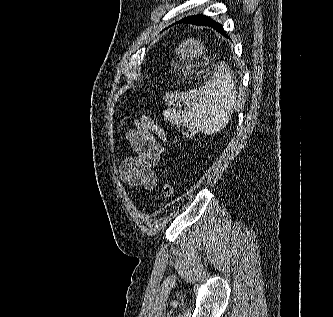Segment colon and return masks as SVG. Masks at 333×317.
Instances as JSON below:
<instances>
[{"label": "colon", "mask_w": 333, "mask_h": 317, "mask_svg": "<svg viewBox=\"0 0 333 317\" xmlns=\"http://www.w3.org/2000/svg\"><path fill=\"white\" fill-rule=\"evenodd\" d=\"M182 134L184 137L190 138L194 135V130L193 128L188 127L183 130ZM173 193H174V187L172 183L166 180L161 184L160 194L158 198L160 201H166L172 197Z\"/></svg>", "instance_id": "1"}]
</instances>
